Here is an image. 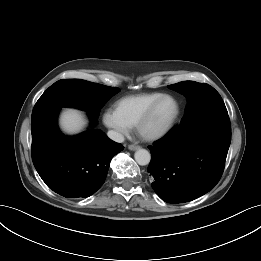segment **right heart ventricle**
Listing matches in <instances>:
<instances>
[{
    "instance_id": "1",
    "label": "right heart ventricle",
    "mask_w": 261,
    "mask_h": 261,
    "mask_svg": "<svg viewBox=\"0 0 261 261\" xmlns=\"http://www.w3.org/2000/svg\"><path fill=\"white\" fill-rule=\"evenodd\" d=\"M161 95L163 94L159 92H150L125 96L115 102L114 110L134 127L148 107Z\"/></svg>"
}]
</instances>
